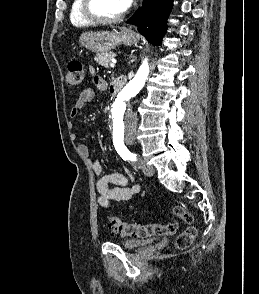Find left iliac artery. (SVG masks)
<instances>
[{
    "label": "left iliac artery",
    "instance_id": "obj_1",
    "mask_svg": "<svg viewBox=\"0 0 259 294\" xmlns=\"http://www.w3.org/2000/svg\"><path fill=\"white\" fill-rule=\"evenodd\" d=\"M114 146L118 154L124 160H129L131 162H137L138 156L128 150V148L123 143L114 142Z\"/></svg>",
    "mask_w": 259,
    "mask_h": 294
}]
</instances>
